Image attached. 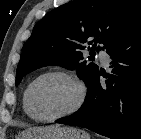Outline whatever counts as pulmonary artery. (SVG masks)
Here are the masks:
<instances>
[{
	"label": "pulmonary artery",
	"mask_w": 141,
	"mask_h": 139,
	"mask_svg": "<svg viewBox=\"0 0 141 139\" xmlns=\"http://www.w3.org/2000/svg\"><path fill=\"white\" fill-rule=\"evenodd\" d=\"M99 58H100L101 63L104 66L108 65V63H109V55L104 50H101L99 52Z\"/></svg>",
	"instance_id": "obj_1"
}]
</instances>
